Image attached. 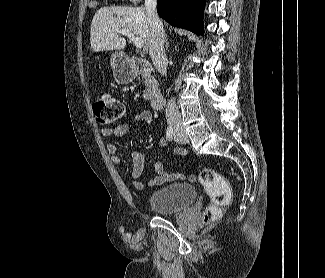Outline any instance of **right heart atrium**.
<instances>
[{"label":"right heart atrium","mask_w":325,"mask_h":278,"mask_svg":"<svg viewBox=\"0 0 325 278\" xmlns=\"http://www.w3.org/2000/svg\"><path fill=\"white\" fill-rule=\"evenodd\" d=\"M129 1L134 2V3H137V2H139L141 0H129Z\"/></svg>","instance_id":"right-heart-atrium-1"}]
</instances>
